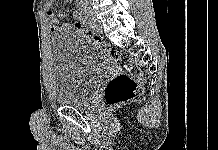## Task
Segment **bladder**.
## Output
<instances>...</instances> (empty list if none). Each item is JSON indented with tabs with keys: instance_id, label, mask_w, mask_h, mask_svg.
Listing matches in <instances>:
<instances>
[{
	"instance_id": "1",
	"label": "bladder",
	"mask_w": 218,
	"mask_h": 150,
	"mask_svg": "<svg viewBox=\"0 0 218 150\" xmlns=\"http://www.w3.org/2000/svg\"><path fill=\"white\" fill-rule=\"evenodd\" d=\"M52 48L55 101L61 106H85L112 71L113 63L87 39L71 31H59Z\"/></svg>"
}]
</instances>
